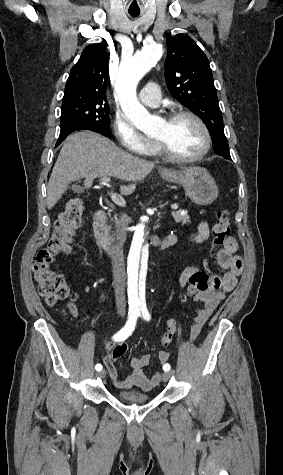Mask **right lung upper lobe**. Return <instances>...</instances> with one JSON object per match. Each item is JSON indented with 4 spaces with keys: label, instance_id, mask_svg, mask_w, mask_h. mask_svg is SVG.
<instances>
[{
    "label": "right lung upper lobe",
    "instance_id": "right-lung-upper-lobe-1",
    "mask_svg": "<svg viewBox=\"0 0 283 475\" xmlns=\"http://www.w3.org/2000/svg\"><path fill=\"white\" fill-rule=\"evenodd\" d=\"M108 80V54L106 46L92 44L83 51L76 65L71 68L64 97H106Z\"/></svg>",
    "mask_w": 283,
    "mask_h": 475
}]
</instances>
